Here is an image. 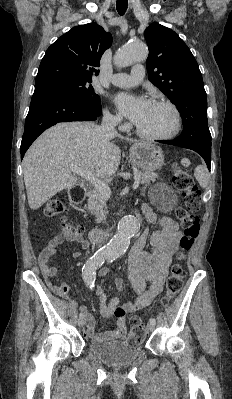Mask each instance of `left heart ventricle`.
Listing matches in <instances>:
<instances>
[{
  "mask_svg": "<svg viewBox=\"0 0 232 399\" xmlns=\"http://www.w3.org/2000/svg\"><path fill=\"white\" fill-rule=\"evenodd\" d=\"M136 126L149 136L165 135L174 127V115L168 106L151 104Z\"/></svg>",
  "mask_w": 232,
  "mask_h": 399,
  "instance_id": "1",
  "label": "left heart ventricle"
}]
</instances>
